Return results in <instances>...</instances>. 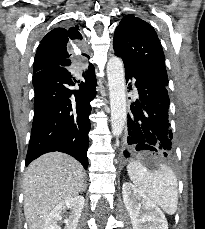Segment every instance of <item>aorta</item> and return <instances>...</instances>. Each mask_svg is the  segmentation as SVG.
I'll use <instances>...</instances> for the list:
<instances>
[{"label": "aorta", "mask_w": 205, "mask_h": 229, "mask_svg": "<svg viewBox=\"0 0 205 229\" xmlns=\"http://www.w3.org/2000/svg\"><path fill=\"white\" fill-rule=\"evenodd\" d=\"M107 78L111 107V128L114 136L119 137L125 127L127 118L125 75L123 62L112 57L107 63Z\"/></svg>", "instance_id": "762f6f07"}]
</instances>
